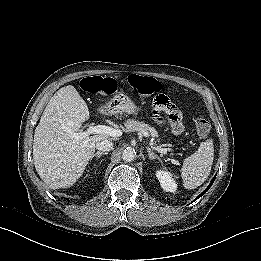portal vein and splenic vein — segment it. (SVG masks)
<instances>
[{"instance_id":"18ae733b","label":"portal vein and splenic vein","mask_w":261,"mask_h":261,"mask_svg":"<svg viewBox=\"0 0 261 261\" xmlns=\"http://www.w3.org/2000/svg\"><path fill=\"white\" fill-rule=\"evenodd\" d=\"M141 133L144 136H148V133L145 131H141ZM90 134H106L111 137H116V136H121L122 131L105 125H97V126H90L86 131L75 133V137L82 139L88 137ZM156 150L163 154L167 153V150L164 148H156ZM173 161L174 164H177V161L175 160Z\"/></svg>"}]
</instances>
